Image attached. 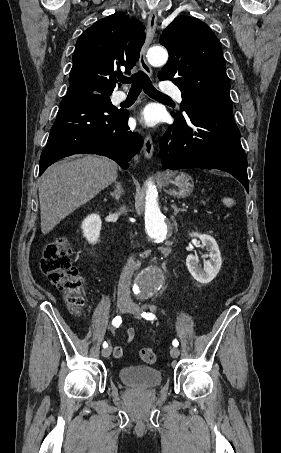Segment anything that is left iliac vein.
Listing matches in <instances>:
<instances>
[{"instance_id": "4c4485c4", "label": "left iliac vein", "mask_w": 281, "mask_h": 453, "mask_svg": "<svg viewBox=\"0 0 281 453\" xmlns=\"http://www.w3.org/2000/svg\"><path fill=\"white\" fill-rule=\"evenodd\" d=\"M140 305V304H139ZM139 305L137 303H133V302H130V304L128 305V308H124L123 311L125 313H132V314H135V315H139L141 314V311L140 309L138 308ZM171 355L174 356L175 358L178 356V348L176 346H173L171 348Z\"/></svg>"}]
</instances>
